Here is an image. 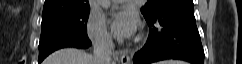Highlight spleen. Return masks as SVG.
<instances>
[{
	"label": "spleen",
	"instance_id": "3e777b00",
	"mask_svg": "<svg viewBox=\"0 0 242 64\" xmlns=\"http://www.w3.org/2000/svg\"><path fill=\"white\" fill-rule=\"evenodd\" d=\"M158 64H185V63L183 61H178V60H167V61L159 62Z\"/></svg>",
	"mask_w": 242,
	"mask_h": 64
}]
</instances>
